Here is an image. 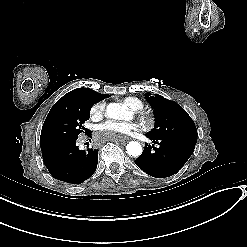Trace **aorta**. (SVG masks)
<instances>
[{"instance_id": "762f6f07", "label": "aorta", "mask_w": 247, "mask_h": 247, "mask_svg": "<svg viewBox=\"0 0 247 247\" xmlns=\"http://www.w3.org/2000/svg\"><path fill=\"white\" fill-rule=\"evenodd\" d=\"M106 115L109 118L122 120L128 117L126 107L118 103H110L106 108ZM128 155L138 157L142 154V146L136 141H131L126 146Z\"/></svg>"}]
</instances>
